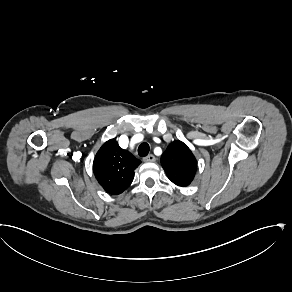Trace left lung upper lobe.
Returning <instances> with one entry per match:
<instances>
[{
    "label": "left lung upper lobe",
    "instance_id": "left-lung-upper-lobe-1",
    "mask_svg": "<svg viewBox=\"0 0 292 292\" xmlns=\"http://www.w3.org/2000/svg\"><path fill=\"white\" fill-rule=\"evenodd\" d=\"M161 164L168 178L176 185L188 186L197 170V161L188 146L181 141L169 144L161 156Z\"/></svg>",
    "mask_w": 292,
    "mask_h": 292
}]
</instances>
